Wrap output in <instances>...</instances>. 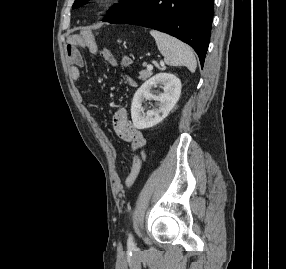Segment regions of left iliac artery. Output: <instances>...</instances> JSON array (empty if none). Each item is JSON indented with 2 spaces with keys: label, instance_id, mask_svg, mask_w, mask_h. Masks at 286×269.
<instances>
[{
  "label": "left iliac artery",
  "instance_id": "left-iliac-artery-1",
  "mask_svg": "<svg viewBox=\"0 0 286 269\" xmlns=\"http://www.w3.org/2000/svg\"><path fill=\"white\" fill-rule=\"evenodd\" d=\"M127 244L129 247H133L135 244H134V239H133V235L130 233L129 236H128V241H127Z\"/></svg>",
  "mask_w": 286,
  "mask_h": 269
}]
</instances>
